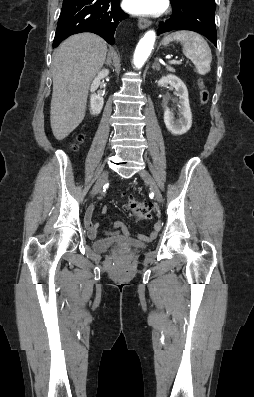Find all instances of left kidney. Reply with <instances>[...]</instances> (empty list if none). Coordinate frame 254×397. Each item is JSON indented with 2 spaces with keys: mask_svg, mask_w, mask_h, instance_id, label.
<instances>
[{
  "mask_svg": "<svg viewBox=\"0 0 254 397\" xmlns=\"http://www.w3.org/2000/svg\"><path fill=\"white\" fill-rule=\"evenodd\" d=\"M170 84L175 88L179 96L180 106L178 108V117L175 119L174 112L169 108L164 111V122L167 129L176 136L185 134L192 126V113L189 104L188 90L181 79L175 75L163 76L158 80V85L163 86Z\"/></svg>",
  "mask_w": 254,
  "mask_h": 397,
  "instance_id": "left-kidney-1",
  "label": "left kidney"
}]
</instances>
